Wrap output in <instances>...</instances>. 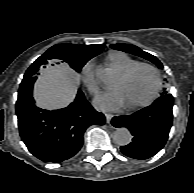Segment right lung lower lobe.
I'll return each mask as SVG.
<instances>
[{"label":"right lung lower lobe","instance_id":"1","mask_svg":"<svg viewBox=\"0 0 194 193\" xmlns=\"http://www.w3.org/2000/svg\"><path fill=\"white\" fill-rule=\"evenodd\" d=\"M16 113L23 142L44 162L71 158L82 147L87 127L105 123L104 115L93 109L81 91L68 107L53 111L38 108L32 95L22 97L17 100Z\"/></svg>","mask_w":194,"mask_h":193}]
</instances>
